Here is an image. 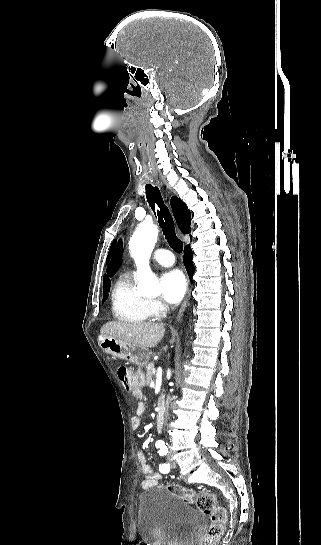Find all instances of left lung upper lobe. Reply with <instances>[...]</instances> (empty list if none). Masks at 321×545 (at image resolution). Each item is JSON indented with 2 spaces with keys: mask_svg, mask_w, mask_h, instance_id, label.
I'll return each instance as SVG.
<instances>
[{
  "mask_svg": "<svg viewBox=\"0 0 321 545\" xmlns=\"http://www.w3.org/2000/svg\"><path fill=\"white\" fill-rule=\"evenodd\" d=\"M122 252H123L122 242L119 241V244L117 245L116 250L114 252L113 258L107 268V272L109 273L110 276H112L116 272L118 267L120 266L122 261Z\"/></svg>",
  "mask_w": 321,
  "mask_h": 545,
  "instance_id": "5c2ea615",
  "label": "left lung upper lobe"
}]
</instances>
